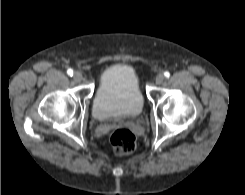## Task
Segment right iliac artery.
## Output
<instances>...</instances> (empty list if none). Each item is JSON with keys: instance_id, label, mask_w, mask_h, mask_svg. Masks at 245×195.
<instances>
[{"instance_id": "right-iliac-artery-1", "label": "right iliac artery", "mask_w": 245, "mask_h": 195, "mask_svg": "<svg viewBox=\"0 0 245 195\" xmlns=\"http://www.w3.org/2000/svg\"><path fill=\"white\" fill-rule=\"evenodd\" d=\"M67 74H68L69 76H72V75H73V70H72V69H68V70H67Z\"/></svg>"}]
</instances>
